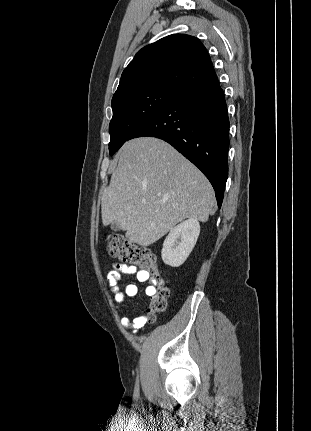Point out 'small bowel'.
Segmentation results:
<instances>
[{"instance_id":"obj_1","label":"small bowel","mask_w":311,"mask_h":431,"mask_svg":"<svg viewBox=\"0 0 311 431\" xmlns=\"http://www.w3.org/2000/svg\"><path fill=\"white\" fill-rule=\"evenodd\" d=\"M124 275H135L139 282L145 283L150 282V274L145 270H140L133 265L119 264L115 263L113 265V270H111L107 275V280L109 286L114 293L115 307L117 310L124 304L127 297H134L138 293V287L135 284H127L122 289L119 287L120 281L123 279ZM154 293V286L149 285L145 289V294L151 297ZM136 314L135 310L131 311ZM122 326L130 328L132 333L135 334L141 330L147 323V318L143 315H136L132 320L128 317H122L120 319Z\"/></svg>"}]
</instances>
